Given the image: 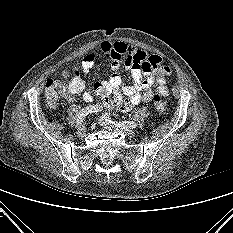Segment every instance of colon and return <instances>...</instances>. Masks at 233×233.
<instances>
[{"label":"colon","instance_id":"obj_1","mask_svg":"<svg viewBox=\"0 0 233 233\" xmlns=\"http://www.w3.org/2000/svg\"><path fill=\"white\" fill-rule=\"evenodd\" d=\"M66 91V85L63 81L58 79H48L46 81L45 95L50 106H54L57 100L64 95ZM93 92L103 101L105 107H113L110 94L101 82H96L93 85ZM152 105L155 110L163 112L167 109L168 98L164 94L157 93L152 97Z\"/></svg>","mask_w":233,"mask_h":233}]
</instances>
